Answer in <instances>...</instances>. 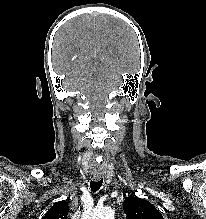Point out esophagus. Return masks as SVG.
Instances as JSON below:
<instances>
[{
    "mask_svg": "<svg viewBox=\"0 0 206 219\" xmlns=\"http://www.w3.org/2000/svg\"><path fill=\"white\" fill-rule=\"evenodd\" d=\"M100 178H101V175H100V174H95V175H94V179H95V180H99Z\"/></svg>",
    "mask_w": 206,
    "mask_h": 219,
    "instance_id": "1",
    "label": "esophagus"
}]
</instances>
